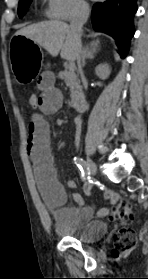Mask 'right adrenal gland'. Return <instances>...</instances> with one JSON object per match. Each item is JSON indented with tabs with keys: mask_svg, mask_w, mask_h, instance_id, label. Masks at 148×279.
Returning a JSON list of instances; mask_svg holds the SVG:
<instances>
[{
	"mask_svg": "<svg viewBox=\"0 0 148 279\" xmlns=\"http://www.w3.org/2000/svg\"><path fill=\"white\" fill-rule=\"evenodd\" d=\"M99 50V41L93 42L90 46H86L82 49V60H81V66H85V60L87 58L94 59L95 54Z\"/></svg>",
	"mask_w": 148,
	"mask_h": 279,
	"instance_id": "right-adrenal-gland-1",
	"label": "right adrenal gland"
}]
</instances>
